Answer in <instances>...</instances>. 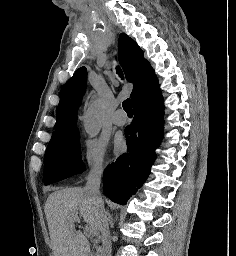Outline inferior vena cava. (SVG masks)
Here are the masks:
<instances>
[{
	"label": "inferior vena cava",
	"instance_id": "obj_1",
	"mask_svg": "<svg viewBox=\"0 0 236 256\" xmlns=\"http://www.w3.org/2000/svg\"><path fill=\"white\" fill-rule=\"evenodd\" d=\"M103 174V168L101 166H94L92 170L89 172V176L87 178V184L84 188L85 194L94 200L96 204H99L100 208L104 210L103 200L100 194V184L101 178ZM102 234V256H111L112 248H111V240H110V232L108 228V220H106L103 228H101Z\"/></svg>",
	"mask_w": 236,
	"mask_h": 256
}]
</instances>
